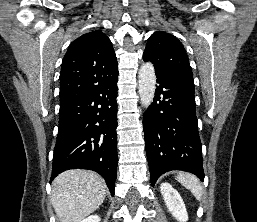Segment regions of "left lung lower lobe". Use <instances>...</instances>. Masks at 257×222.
<instances>
[{"label":"left lung lower lobe","instance_id":"obj_1","mask_svg":"<svg viewBox=\"0 0 257 222\" xmlns=\"http://www.w3.org/2000/svg\"><path fill=\"white\" fill-rule=\"evenodd\" d=\"M156 76L159 85L143 116L151 184L171 170L191 172L203 181L194 88L163 73Z\"/></svg>","mask_w":257,"mask_h":222}]
</instances>
